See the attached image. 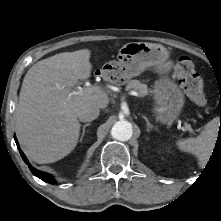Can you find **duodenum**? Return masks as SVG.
Masks as SVG:
<instances>
[{
	"label": "duodenum",
	"mask_w": 221,
	"mask_h": 221,
	"mask_svg": "<svg viewBox=\"0 0 221 221\" xmlns=\"http://www.w3.org/2000/svg\"><path fill=\"white\" fill-rule=\"evenodd\" d=\"M96 74H97V76H102L103 72L102 71H98Z\"/></svg>",
	"instance_id": "1"
}]
</instances>
